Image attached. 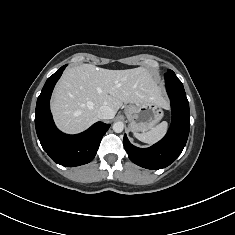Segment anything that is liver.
<instances>
[{
	"mask_svg": "<svg viewBox=\"0 0 235 235\" xmlns=\"http://www.w3.org/2000/svg\"><path fill=\"white\" fill-rule=\"evenodd\" d=\"M154 101L168 107L153 74L143 67L109 70L92 64L67 69L57 83L51 111L58 128L79 133L99 120L101 106L116 113L123 103Z\"/></svg>",
	"mask_w": 235,
	"mask_h": 235,
	"instance_id": "1",
	"label": "liver"
}]
</instances>
